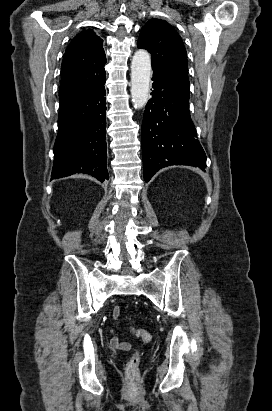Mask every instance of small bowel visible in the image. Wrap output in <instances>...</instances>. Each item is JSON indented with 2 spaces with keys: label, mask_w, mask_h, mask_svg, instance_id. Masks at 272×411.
Listing matches in <instances>:
<instances>
[{
  "label": "small bowel",
  "mask_w": 272,
  "mask_h": 411,
  "mask_svg": "<svg viewBox=\"0 0 272 411\" xmlns=\"http://www.w3.org/2000/svg\"><path fill=\"white\" fill-rule=\"evenodd\" d=\"M120 314V308L118 306H115L112 312V317L113 319H117ZM110 345L114 349H119V350H129L130 349V344L127 342L120 341L117 336H113L110 340Z\"/></svg>",
  "instance_id": "small-bowel-1"
}]
</instances>
